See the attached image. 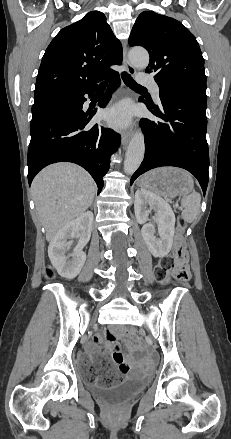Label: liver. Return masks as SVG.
Instances as JSON below:
<instances>
[{
	"label": "liver",
	"instance_id": "liver-1",
	"mask_svg": "<svg viewBox=\"0 0 231 439\" xmlns=\"http://www.w3.org/2000/svg\"><path fill=\"white\" fill-rule=\"evenodd\" d=\"M31 189L46 240L51 241L60 229L88 209L95 196L96 184L82 167L56 163L38 173Z\"/></svg>",
	"mask_w": 231,
	"mask_h": 439
}]
</instances>
